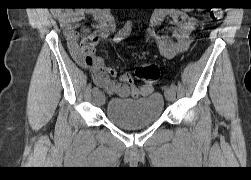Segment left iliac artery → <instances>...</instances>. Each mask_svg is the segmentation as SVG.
Returning a JSON list of instances; mask_svg holds the SVG:
<instances>
[{"mask_svg":"<svg viewBox=\"0 0 251 180\" xmlns=\"http://www.w3.org/2000/svg\"><path fill=\"white\" fill-rule=\"evenodd\" d=\"M170 88L173 89V90H176L177 87H176V85H175L174 83H172V84L170 85Z\"/></svg>","mask_w":251,"mask_h":180,"instance_id":"44dca946","label":"left iliac artery"}]
</instances>
